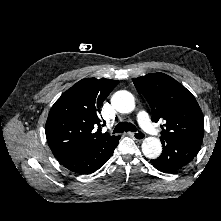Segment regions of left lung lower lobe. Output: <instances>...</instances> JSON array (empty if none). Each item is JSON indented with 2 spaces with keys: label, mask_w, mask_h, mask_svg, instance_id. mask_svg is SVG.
<instances>
[{
  "label": "left lung lower lobe",
  "mask_w": 221,
  "mask_h": 221,
  "mask_svg": "<svg viewBox=\"0 0 221 221\" xmlns=\"http://www.w3.org/2000/svg\"><path fill=\"white\" fill-rule=\"evenodd\" d=\"M203 138H191L181 141H161L162 154L151 160L153 166L164 173H176L186 166L198 153Z\"/></svg>",
  "instance_id": "0a47b994"
}]
</instances>
